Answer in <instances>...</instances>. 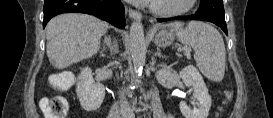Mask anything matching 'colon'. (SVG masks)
<instances>
[{
	"instance_id": "5ec220e1",
	"label": "colon",
	"mask_w": 273,
	"mask_h": 118,
	"mask_svg": "<svg viewBox=\"0 0 273 118\" xmlns=\"http://www.w3.org/2000/svg\"><path fill=\"white\" fill-rule=\"evenodd\" d=\"M52 83L57 88H63L69 84V80L53 77ZM228 98H230V96H228ZM40 108L46 118H64L67 105L63 97L53 96L42 99L40 102Z\"/></svg>"
}]
</instances>
